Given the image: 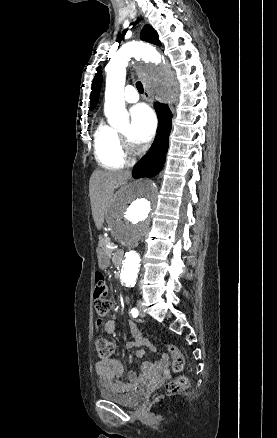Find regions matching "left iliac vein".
I'll return each instance as SVG.
<instances>
[{"label": "left iliac vein", "instance_id": "4c4485c4", "mask_svg": "<svg viewBox=\"0 0 277 438\" xmlns=\"http://www.w3.org/2000/svg\"><path fill=\"white\" fill-rule=\"evenodd\" d=\"M137 307H138L139 315H140L141 317H144V316H145V312L143 311V307H142V303H141V301H138V303H137Z\"/></svg>", "mask_w": 277, "mask_h": 438}]
</instances>
